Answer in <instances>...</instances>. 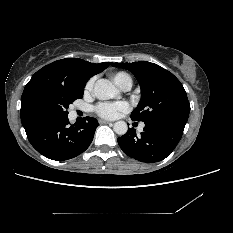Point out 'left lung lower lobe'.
<instances>
[{
  "label": "left lung lower lobe",
  "mask_w": 233,
  "mask_h": 233,
  "mask_svg": "<svg viewBox=\"0 0 233 233\" xmlns=\"http://www.w3.org/2000/svg\"><path fill=\"white\" fill-rule=\"evenodd\" d=\"M184 128L158 123H145L144 132L138 137L133 128L117 139L122 151L131 158L145 163L165 159L179 143Z\"/></svg>",
  "instance_id": "left-lung-lower-lobe-1"
}]
</instances>
